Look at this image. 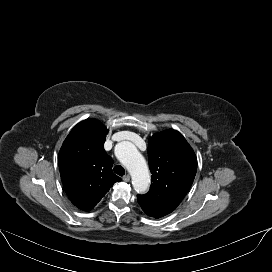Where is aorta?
I'll return each instance as SVG.
<instances>
[{
  "mask_svg": "<svg viewBox=\"0 0 272 272\" xmlns=\"http://www.w3.org/2000/svg\"><path fill=\"white\" fill-rule=\"evenodd\" d=\"M117 157L129 171L132 185L138 193L146 191L150 183V174L144 157L131 142H122L118 146Z\"/></svg>",
  "mask_w": 272,
  "mask_h": 272,
  "instance_id": "762f6f07",
  "label": "aorta"
}]
</instances>
